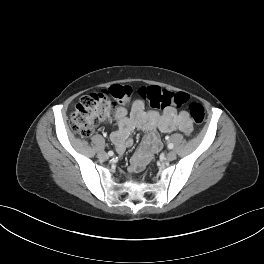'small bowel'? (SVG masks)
<instances>
[{"mask_svg": "<svg viewBox=\"0 0 264 264\" xmlns=\"http://www.w3.org/2000/svg\"><path fill=\"white\" fill-rule=\"evenodd\" d=\"M118 128L112 132L111 139L119 154L132 146L130 135L136 129L147 132L141 145L130 160V172L135 173L145 167L153 155L162 148L159 132L169 133L176 130L189 136L193 131V123L185 111L175 108H167L162 113L146 111L144 103L136 100L132 104L130 113L123 105H119L115 111Z\"/></svg>", "mask_w": 264, "mask_h": 264, "instance_id": "c3829d8e", "label": "small bowel"}]
</instances>
